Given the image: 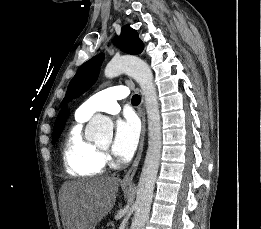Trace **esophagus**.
Returning <instances> with one entry per match:
<instances>
[{"instance_id": "34e87169", "label": "esophagus", "mask_w": 261, "mask_h": 229, "mask_svg": "<svg viewBox=\"0 0 261 229\" xmlns=\"http://www.w3.org/2000/svg\"><path fill=\"white\" fill-rule=\"evenodd\" d=\"M141 119H142V131H141V137H140V143H139V148L137 151V155L133 161V164L129 168L128 172L125 174L124 179H123V184L125 185H133V178L134 175L137 172L142 152H143V146L145 142V134H146V117H145V108H144V97L142 95L141 97Z\"/></svg>"}]
</instances>
